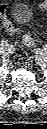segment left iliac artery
<instances>
[{
  "label": "left iliac artery",
  "instance_id": "44dca946",
  "mask_svg": "<svg viewBox=\"0 0 47 129\" xmlns=\"http://www.w3.org/2000/svg\"><path fill=\"white\" fill-rule=\"evenodd\" d=\"M43 50H44V51H46L47 49H46V48H44Z\"/></svg>",
  "mask_w": 47,
  "mask_h": 129
}]
</instances>
